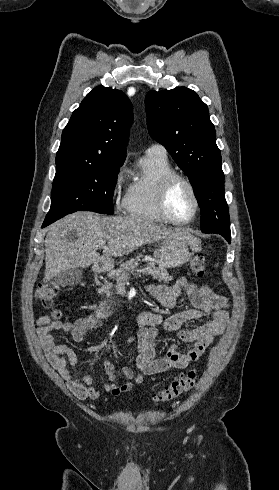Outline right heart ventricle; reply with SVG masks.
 Returning <instances> with one entry per match:
<instances>
[{"label": "right heart ventricle", "mask_w": 279, "mask_h": 490, "mask_svg": "<svg viewBox=\"0 0 279 490\" xmlns=\"http://www.w3.org/2000/svg\"><path fill=\"white\" fill-rule=\"evenodd\" d=\"M142 176L129 189L125 200L126 213L138 220L170 224L159 206V195L164 177L174 172L167 157L145 155L141 160Z\"/></svg>", "instance_id": "obj_1"}]
</instances>
